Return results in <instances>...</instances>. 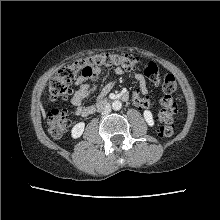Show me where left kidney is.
<instances>
[{
    "mask_svg": "<svg viewBox=\"0 0 220 220\" xmlns=\"http://www.w3.org/2000/svg\"><path fill=\"white\" fill-rule=\"evenodd\" d=\"M143 116L149 126H154V120L151 111L145 110Z\"/></svg>",
    "mask_w": 220,
    "mask_h": 220,
    "instance_id": "left-kidney-1",
    "label": "left kidney"
}]
</instances>
